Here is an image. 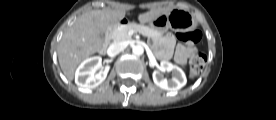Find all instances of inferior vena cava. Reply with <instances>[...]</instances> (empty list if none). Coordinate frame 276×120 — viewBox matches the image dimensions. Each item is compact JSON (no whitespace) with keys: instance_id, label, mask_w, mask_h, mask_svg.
<instances>
[{"instance_id":"obj_1","label":"inferior vena cava","mask_w":276,"mask_h":120,"mask_svg":"<svg viewBox=\"0 0 276 120\" xmlns=\"http://www.w3.org/2000/svg\"><path fill=\"white\" fill-rule=\"evenodd\" d=\"M126 48V45L123 42H115L111 44L107 50V54L110 57H114Z\"/></svg>"}]
</instances>
